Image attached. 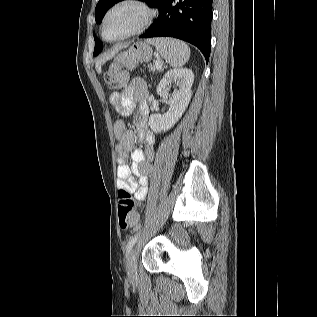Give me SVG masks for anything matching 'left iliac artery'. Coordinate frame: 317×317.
<instances>
[{
  "label": "left iliac artery",
  "instance_id": "1",
  "mask_svg": "<svg viewBox=\"0 0 317 317\" xmlns=\"http://www.w3.org/2000/svg\"><path fill=\"white\" fill-rule=\"evenodd\" d=\"M140 232H138L137 234H135L134 236H132L129 240V242L127 243L126 246V255L129 254L130 250L132 249L133 245L135 244V242L138 239Z\"/></svg>",
  "mask_w": 317,
  "mask_h": 317
}]
</instances>
